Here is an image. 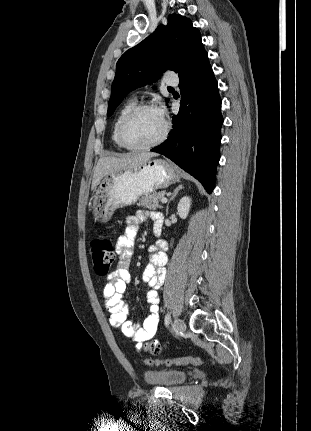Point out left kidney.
Listing matches in <instances>:
<instances>
[{"label":"left kidney","mask_w":311,"mask_h":431,"mask_svg":"<svg viewBox=\"0 0 311 431\" xmlns=\"http://www.w3.org/2000/svg\"><path fill=\"white\" fill-rule=\"evenodd\" d=\"M191 202L192 200L191 198H189V196H184V198H181V200H179L177 212L179 216L182 217V219H186V217L188 216L191 208Z\"/></svg>","instance_id":"left-kidney-1"}]
</instances>
